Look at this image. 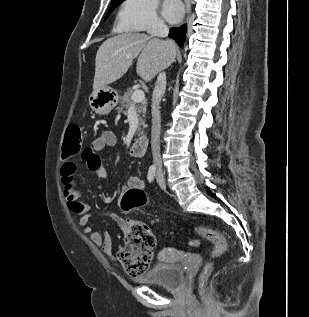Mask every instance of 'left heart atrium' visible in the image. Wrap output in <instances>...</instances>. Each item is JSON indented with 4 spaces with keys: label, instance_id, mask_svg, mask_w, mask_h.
<instances>
[{
    "label": "left heart atrium",
    "instance_id": "left-heart-atrium-1",
    "mask_svg": "<svg viewBox=\"0 0 309 317\" xmlns=\"http://www.w3.org/2000/svg\"><path fill=\"white\" fill-rule=\"evenodd\" d=\"M162 13L168 22L177 23L183 17V4L180 0H164Z\"/></svg>",
    "mask_w": 309,
    "mask_h": 317
}]
</instances>
